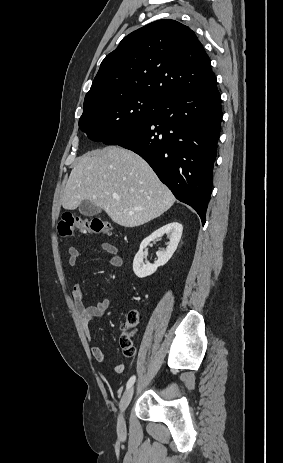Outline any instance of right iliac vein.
I'll list each match as a JSON object with an SVG mask.
<instances>
[{
	"label": "right iliac vein",
	"instance_id": "1",
	"mask_svg": "<svg viewBox=\"0 0 283 463\" xmlns=\"http://www.w3.org/2000/svg\"><path fill=\"white\" fill-rule=\"evenodd\" d=\"M133 393H134V388L133 387H130L123 395L121 401H120V405H119V409H120V412H119V416H118V422H117V429H118V433L120 436H125L126 435V424H125V420H124V411L126 410V408L128 407V405L130 404L131 402V399L133 397Z\"/></svg>",
	"mask_w": 283,
	"mask_h": 463
}]
</instances>
